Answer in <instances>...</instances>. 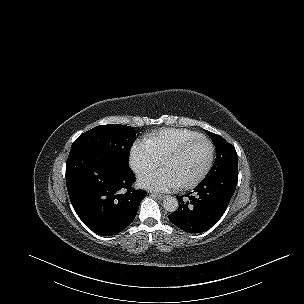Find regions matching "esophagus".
Here are the masks:
<instances>
[{
    "label": "esophagus",
    "mask_w": 304,
    "mask_h": 304,
    "mask_svg": "<svg viewBox=\"0 0 304 304\" xmlns=\"http://www.w3.org/2000/svg\"><path fill=\"white\" fill-rule=\"evenodd\" d=\"M152 196L156 197L159 200H163L167 197L166 195L158 194V193H152Z\"/></svg>",
    "instance_id": "esophagus-1"
}]
</instances>
